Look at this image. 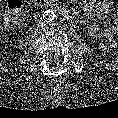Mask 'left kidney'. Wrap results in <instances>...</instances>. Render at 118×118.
<instances>
[{"label":"left kidney","instance_id":"left-kidney-1","mask_svg":"<svg viewBox=\"0 0 118 118\" xmlns=\"http://www.w3.org/2000/svg\"><path fill=\"white\" fill-rule=\"evenodd\" d=\"M100 47L102 48L103 51L106 52V50H107V46H105V45L102 44Z\"/></svg>","mask_w":118,"mask_h":118}]
</instances>
